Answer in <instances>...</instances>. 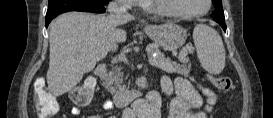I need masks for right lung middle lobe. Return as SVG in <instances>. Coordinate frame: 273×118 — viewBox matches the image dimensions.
<instances>
[{"label": "right lung middle lobe", "mask_w": 273, "mask_h": 118, "mask_svg": "<svg viewBox=\"0 0 273 118\" xmlns=\"http://www.w3.org/2000/svg\"><path fill=\"white\" fill-rule=\"evenodd\" d=\"M86 1L95 2V3L102 4V5H106L109 2V0H86Z\"/></svg>", "instance_id": "1"}]
</instances>
